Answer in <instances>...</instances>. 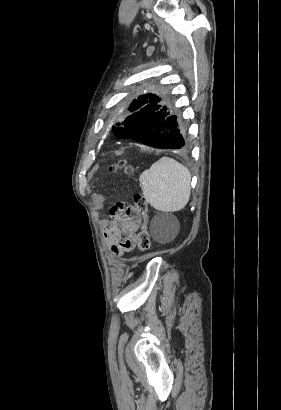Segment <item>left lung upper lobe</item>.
<instances>
[{
  "instance_id": "left-lung-upper-lobe-1",
  "label": "left lung upper lobe",
  "mask_w": 281,
  "mask_h": 410,
  "mask_svg": "<svg viewBox=\"0 0 281 410\" xmlns=\"http://www.w3.org/2000/svg\"><path fill=\"white\" fill-rule=\"evenodd\" d=\"M153 94L149 93V94H145V95H141L139 96L137 99L133 100V102L131 103L130 107H129V111L130 112H136L138 110H140L141 108H143L149 101V99L151 98ZM119 128L114 127L113 131L114 134L118 137L120 135H122L121 130L118 131Z\"/></svg>"
}]
</instances>
